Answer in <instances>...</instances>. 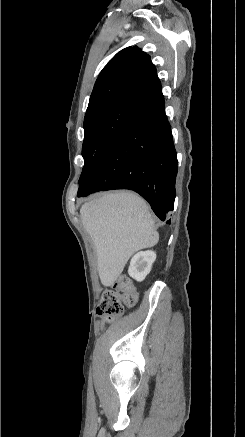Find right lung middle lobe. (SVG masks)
<instances>
[{"instance_id":"obj_1","label":"right lung middle lobe","mask_w":245,"mask_h":437,"mask_svg":"<svg viewBox=\"0 0 245 437\" xmlns=\"http://www.w3.org/2000/svg\"><path fill=\"white\" fill-rule=\"evenodd\" d=\"M141 109L121 102L100 105L85 115L82 156L84 167L79 179L83 183L107 152L122 129Z\"/></svg>"}]
</instances>
